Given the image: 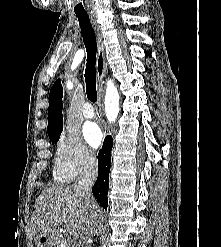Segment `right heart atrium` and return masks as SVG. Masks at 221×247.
<instances>
[{"mask_svg":"<svg viewBox=\"0 0 221 247\" xmlns=\"http://www.w3.org/2000/svg\"><path fill=\"white\" fill-rule=\"evenodd\" d=\"M94 162V152L85 145L77 131L66 127L55 147L54 179L61 183L71 182L81 173L91 169Z\"/></svg>","mask_w":221,"mask_h":247,"instance_id":"right-heart-atrium-1","label":"right heart atrium"}]
</instances>
